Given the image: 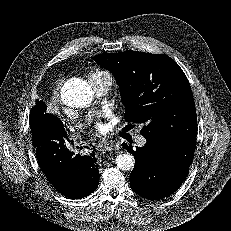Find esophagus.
Here are the masks:
<instances>
[{
    "mask_svg": "<svg viewBox=\"0 0 231 231\" xmlns=\"http://www.w3.org/2000/svg\"><path fill=\"white\" fill-rule=\"evenodd\" d=\"M100 144L101 147L106 151L112 150L115 147V143L112 140L104 139Z\"/></svg>",
    "mask_w": 231,
    "mask_h": 231,
    "instance_id": "34e87169",
    "label": "esophagus"
}]
</instances>
